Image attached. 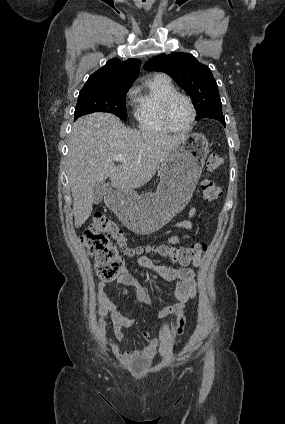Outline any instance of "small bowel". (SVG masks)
<instances>
[{"label":"small bowel","mask_w":285,"mask_h":424,"mask_svg":"<svg viewBox=\"0 0 285 424\" xmlns=\"http://www.w3.org/2000/svg\"><path fill=\"white\" fill-rule=\"evenodd\" d=\"M194 214V211H191L190 217H193ZM175 227L179 230H190L193 227V224L191 219H184L178 221L175 224ZM179 240V235H173L167 240V242L170 245H175L179 242ZM136 260L141 267L159 275L166 282L174 284L172 293L177 302L175 304L162 307L157 312V318L163 319L169 315H175L177 317L175 334H182L185 325V320L182 317L184 306L189 300L195 298L197 295V279L195 271L191 268L176 269L168 267L144 254L137 255ZM115 283L123 296H127L129 294L126 286H133L136 288V298L140 304H157V302L151 298L148 288L139 284L127 268L123 269L122 273L115 279ZM105 286V280H102L98 286V313L103 317L100 321V328L104 331L106 327V320H109L112 323V335L114 339L118 342H122L125 340L122 329L132 325L134 323V319L129 318L117 309L116 305L107 297L104 291ZM180 319H182L181 322ZM143 339L145 341L144 351L149 354L154 353L158 348L159 339L152 337L151 330H147L143 333ZM107 342L120 364L125 365L132 360L136 350L128 349L122 351L114 341L109 340Z\"/></svg>","instance_id":"small-bowel-1"}]
</instances>
